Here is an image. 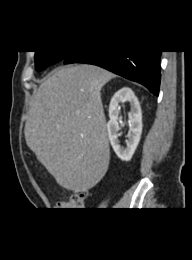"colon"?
I'll list each match as a JSON object with an SVG mask.
<instances>
[{
    "label": "colon",
    "instance_id": "5ec220e1",
    "mask_svg": "<svg viewBox=\"0 0 192 260\" xmlns=\"http://www.w3.org/2000/svg\"><path fill=\"white\" fill-rule=\"evenodd\" d=\"M87 194L85 192H77L69 197L68 200L59 202L57 207L59 210H77L83 207Z\"/></svg>",
    "mask_w": 192,
    "mask_h": 260
}]
</instances>
